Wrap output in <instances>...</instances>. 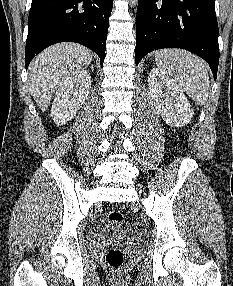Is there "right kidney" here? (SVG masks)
Returning <instances> with one entry per match:
<instances>
[{"mask_svg":"<svg viewBox=\"0 0 233 286\" xmlns=\"http://www.w3.org/2000/svg\"><path fill=\"white\" fill-rule=\"evenodd\" d=\"M90 87L91 75L87 70L75 72L62 83L51 108V117L56 124L63 125L75 116L88 96Z\"/></svg>","mask_w":233,"mask_h":286,"instance_id":"ca27d5eb","label":"right kidney"}]
</instances>
